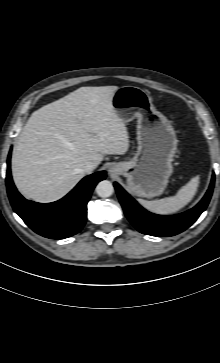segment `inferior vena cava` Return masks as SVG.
Listing matches in <instances>:
<instances>
[{"label":"inferior vena cava","mask_w":220,"mask_h":363,"mask_svg":"<svg viewBox=\"0 0 220 363\" xmlns=\"http://www.w3.org/2000/svg\"><path fill=\"white\" fill-rule=\"evenodd\" d=\"M96 168V164L93 162H86L82 168L85 173H91Z\"/></svg>","instance_id":"1"}]
</instances>
